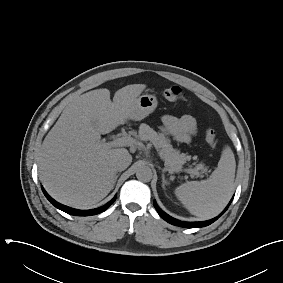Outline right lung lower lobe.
Returning a JSON list of instances; mask_svg holds the SVG:
<instances>
[{
	"instance_id": "98d812e1",
	"label": "right lung lower lobe",
	"mask_w": 283,
	"mask_h": 283,
	"mask_svg": "<svg viewBox=\"0 0 283 283\" xmlns=\"http://www.w3.org/2000/svg\"><path fill=\"white\" fill-rule=\"evenodd\" d=\"M42 191L44 193V195L46 196V198L58 209L71 214V215H76V216H90V215H95L98 213H101L103 211H105L116 199V196L109 201L107 204H105L104 206L97 208V209H92V210H77V209H73L70 207H67L65 205H62L58 202H56L53 198H51L47 192L44 190V188L42 187Z\"/></svg>"
}]
</instances>
